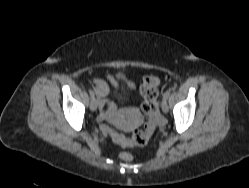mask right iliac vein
<instances>
[{
	"instance_id": "1",
	"label": "right iliac vein",
	"mask_w": 249,
	"mask_h": 188,
	"mask_svg": "<svg viewBox=\"0 0 249 188\" xmlns=\"http://www.w3.org/2000/svg\"><path fill=\"white\" fill-rule=\"evenodd\" d=\"M97 105H98L97 99H96L95 97H91V101H90V110H91L92 112L96 111Z\"/></svg>"
}]
</instances>
